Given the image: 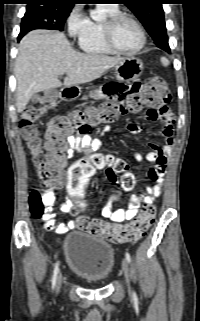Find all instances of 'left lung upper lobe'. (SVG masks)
<instances>
[{"label":"left lung upper lobe","mask_w":200,"mask_h":321,"mask_svg":"<svg viewBox=\"0 0 200 321\" xmlns=\"http://www.w3.org/2000/svg\"><path fill=\"white\" fill-rule=\"evenodd\" d=\"M164 0H122L140 20L155 44L167 51L169 48L164 11Z\"/></svg>","instance_id":"1"}]
</instances>
